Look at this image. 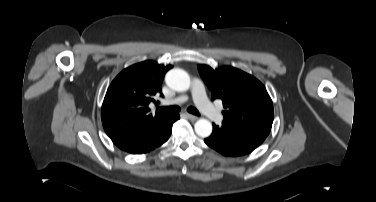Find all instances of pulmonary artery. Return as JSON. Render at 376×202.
<instances>
[{"mask_svg": "<svg viewBox=\"0 0 376 202\" xmlns=\"http://www.w3.org/2000/svg\"><path fill=\"white\" fill-rule=\"evenodd\" d=\"M191 89L193 100L197 107L200 109V111L211 121L220 122L223 116L221 112L218 109H216L208 100L202 81L199 79H194L192 81ZM187 99V96L183 95L176 97L175 99L169 101V103L182 104L185 103Z\"/></svg>", "mask_w": 376, "mask_h": 202, "instance_id": "obj_1", "label": "pulmonary artery"}]
</instances>
